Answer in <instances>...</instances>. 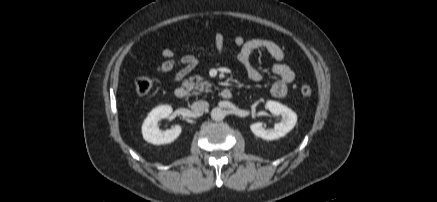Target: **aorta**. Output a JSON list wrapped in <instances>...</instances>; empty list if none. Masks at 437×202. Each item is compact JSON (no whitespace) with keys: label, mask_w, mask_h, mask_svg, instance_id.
Listing matches in <instances>:
<instances>
[{"label":"aorta","mask_w":437,"mask_h":202,"mask_svg":"<svg viewBox=\"0 0 437 202\" xmlns=\"http://www.w3.org/2000/svg\"><path fill=\"white\" fill-rule=\"evenodd\" d=\"M225 117V111L219 107L213 108L211 111V118L215 121H221Z\"/></svg>","instance_id":"obj_1"}]
</instances>
